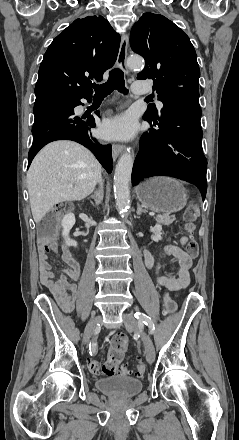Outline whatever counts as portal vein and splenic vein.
<instances>
[{
    "instance_id": "18ae733b",
    "label": "portal vein and splenic vein",
    "mask_w": 239,
    "mask_h": 440,
    "mask_svg": "<svg viewBox=\"0 0 239 440\" xmlns=\"http://www.w3.org/2000/svg\"><path fill=\"white\" fill-rule=\"evenodd\" d=\"M149 214H150V215H154L155 213H154V212H150Z\"/></svg>"
}]
</instances>
